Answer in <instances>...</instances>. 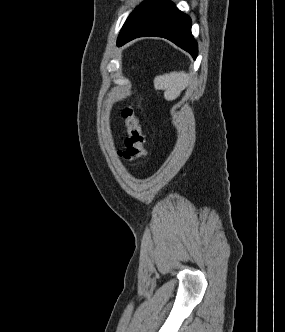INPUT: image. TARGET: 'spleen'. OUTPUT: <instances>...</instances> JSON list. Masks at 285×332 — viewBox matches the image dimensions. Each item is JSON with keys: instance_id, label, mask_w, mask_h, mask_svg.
Listing matches in <instances>:
<instances>
[{"instance_id": "1", "label": "spleen", "mask_w": 285, "mask_h": 332, "mask_svg": "<svg viewBox=\"0 0 285 332\" xmlns=\"http://www.w3.org/2000/svg\"><path fill=\"white\" fill-rule=\"evenodd\" d=\"M189 76L184 71L171 72L156 76L154 87L157 90H164V97L168 101L175 100L187 87Z\"/></svg>"}]
</instances>
